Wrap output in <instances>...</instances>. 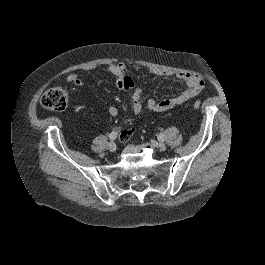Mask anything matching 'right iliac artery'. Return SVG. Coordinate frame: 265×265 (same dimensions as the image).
<instances>
[{
	"mask_svg": "<svg viewBox=\"0 0 265 265\" xmlns=\"http://www.w3.org/2000/svg\"><path fill=\"white\" fill-rule=\"evenodd\" d=\"M118 136V133L116 131H112L110 134H109V139L110 140H115Z\"/></svg>",
	"mask_w": 265,
	"mask_h": 265,
	"instance_id": "1",
	"label": "right iliac artery"
}]
</instances>
